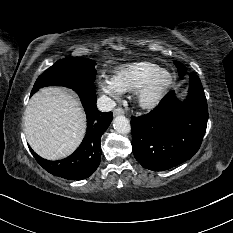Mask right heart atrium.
<instances>
[{"label": "right heart atrium", "mask_w": 233, "mask_h": 233, "mask_svg": "<svg viewBox=\"0 0 233 233\" xmlns=\"http://www.w3.org/2000/svg\"><path fill=\"white\" fill-rule=\"evenodd\" d=\"M100 90L110 96L111 98L118 100L123 94V91L118 87L114 78L102 75L98 82Z\"/></svg>", "instance_id": "obj_1"}]
</instances>
